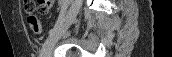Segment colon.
I'll list each match as a JSON object with an SVG mask.
<instances>
[{
  "mask_svg": "<svg viewBox=\"0 0 172 57\" xmlns=\"http://www.w3.org/2000/svg\"><path fill=\"white\" fill-rule=\"evenodd\" d=\"M43 1L44 0H38V1L29 0L28 1L29 5L27 7V11L30 13V15L28 16L27 21H28L30 29L35 34H39L41 32V26H40L38 18L35 15H33L32 12L35 9L36 3L40 4Z\"/></svg>",
  "mask_w": 172,
  "mask_h": 57,
  "instance_id": "5ec220e1",
  "label": "colon"
}]
</instances>
